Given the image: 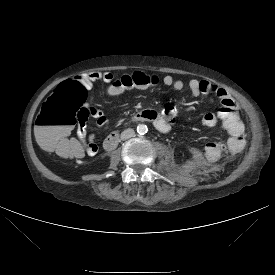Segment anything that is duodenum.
<instances>
[{
  "label": "duodenum",
  "mask_w": 275,
  "mask_h": 275,
  "mask_svg": "<svg viewBox=\"0 0 275 275\" xmlns=\"http://www.w3.org/2000/svg\"><path fill=\"white\" fill-rule=\"evenodd\" d=\"M145 111L139 112L134 115L132 118V121L134 122H139V121H148L145 116ZM119 142V132L118 131H113L110 133L106 139L104 140L103 146L106 150H112L114 149Z\"/></svg>",
  "instance_id": "duodenum-1"
}]
</instances>
